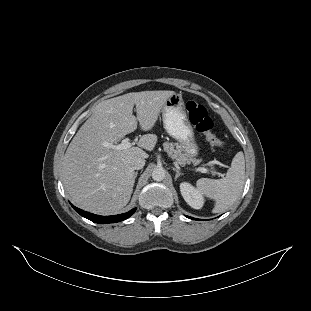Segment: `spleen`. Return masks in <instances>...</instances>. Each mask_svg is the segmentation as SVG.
<instances>
[{"label":"spleen","mask_w":311,"mask_h":311,"mask_svg":"<svg viewBox=\"0 0 311 311\" xmlns=\"http://www.w3.org/2000/svg\"><path fill=\"white\" fill-rule=\"evenodd\" d=\"M245 178V162L242 151L235 154L225 177L219 180L201 178L196 189L208 200L214 201L213 213H219L232 206L242 193Z\"/></svg>","instance_id":"3e777b00"}]
</instances>
